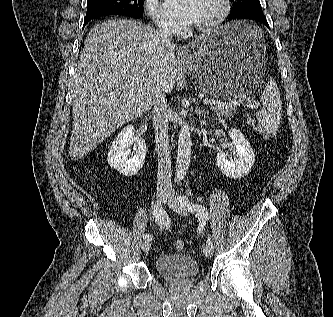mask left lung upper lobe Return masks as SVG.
I'll return each instance as SVG.
<instances>
[{
    "mask_svg": "<svg viewBox=\"0 0 333 317\" xmlns=\"http://www.w3.org/2000/svg\"><path fill=\"white\" fill-rule=\"evenodd\" d=\"M233 3L231 15H236L241 12L262 10L259 0H231Z\"/></svg>",
    "mask_w": 333,
    "mask_h": 317,
    "instance_id": "1",
    "label": "left lung upper lobe"
}]
</instances>
